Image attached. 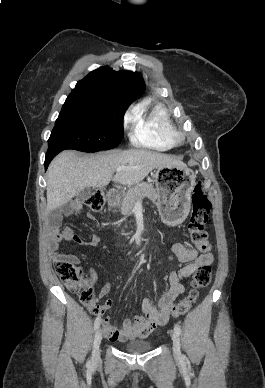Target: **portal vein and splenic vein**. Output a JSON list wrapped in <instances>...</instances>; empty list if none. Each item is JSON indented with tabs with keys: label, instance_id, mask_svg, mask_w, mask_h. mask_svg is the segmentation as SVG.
Instances as JSON below:
<instances>
[{
	"label": "portal vein and splenic vein",
	"instance_id": "portal-vein-and-splenic-vein-1",
	"mask_svg": "<svg viewBox=\"0 0 265 388\" xmlns=\"http://www.w3.org/2000/svg\"><path fill=\"white\" fill-rule=\"evenodd\" d=\"M122 170H135L134 166H119L116 168V172H122Z\"/></svg>",
	"mask_w": 265,
	"mask_h": 388
}]
</instances>
